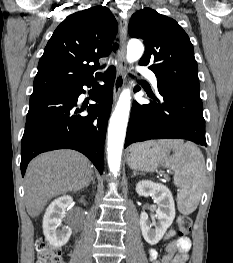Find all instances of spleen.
Masks as SVG:
<instances>
[{
    "label": "spleen",
    "instance_id": "3e777b00",
    "mask_svg": "<svg viewBox=\"0 0 233 263\" xmlns=\"http://www.w3.org/2000/svg\"><path fill=\"white\" fill-rule=\"evenodd\" d=\"M160 144L175 150L173 157L166 161V167L174 172L179 212L184 215L191 214L199 204L206 178L204 156L192 142L170 139L161 140Z\"/></svg>",
    "mask_w": 233,
    "mask_h": 263
}]
</instances>
